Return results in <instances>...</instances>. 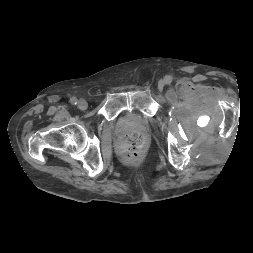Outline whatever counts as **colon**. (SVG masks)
I'll use <instances>...</instances> for the list:
<instances>
[{"mask_svg": "<svg viewBox=\"0 0 253 253\" xmlns=\"http://www.w3.org/2000/svg\"><path fill=\"white\" fill-rule=\"evenodd\" d=\"M119 151L129 160L138 159L144 148V137L139 132H132L123 136L118 144Z\"/></svg>", "mask_w": 253, "mask_h": 253, "instance_id": "colon-1", "label": "colon"}]
</instances>
